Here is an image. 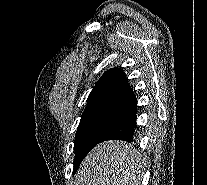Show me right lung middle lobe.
I'll return each mask as SVG.
<instances>
[{
	"label": "right lung middle lobe",
	"instance_id": "obj_1",
	"mask_svg": "<svg viewBox=\"0 0 207 185\" xmlns=\"http://www.w3.org/2000/svg\"><path fill=\"white\" fill-rule=\"evenodd\" d=\"M123 114V111L108 109H95L83 113L74 141V173L88 152Z\"/></svg>",
	"mask_w": 207,
	"mask_h": 185
}]
</instances>
